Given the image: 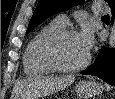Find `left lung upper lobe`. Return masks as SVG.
<instances>
[{
  "label": "left lung upper lobe",
  "mask_w": 115,
  "mask_h": 99,
  "mask_svg": "<svg viewBox=\"0 0 115 99\" xmlns=\"http://www.w3.org/2000/svg\"><path fill=\"white\" fill-rule=\"evenodd\" d=\"M84 0H39L33 16L29 22L27 33L35 28L46 18L69 9L73 5L83 3ZM111 6L115 3L114 0H105Z\"/></svg>",
  "instance_id": "obj_1"
}]
</instances>
